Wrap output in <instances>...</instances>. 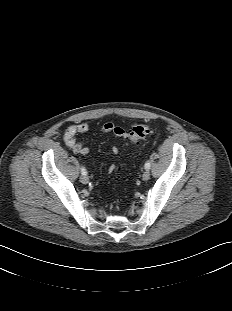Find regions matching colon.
<instances>
[{
	"mask_svg": "<svg viewBox=\"0 0 232 311\" xmlns=\"http://www.w3.org/2000/svg\"><path fill=\"white\" fill-rule=\"evenodd\" d=\"M152 132L153 129L148 125H135L126 133V138L129 142L138 144Z\"/></svg>",
	"mask_w": 232,
	"mask_h": 311,
	"instance_id": "obj_1",
	"label": "colon"
}]
</instances>
